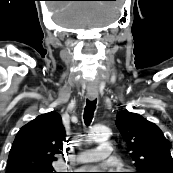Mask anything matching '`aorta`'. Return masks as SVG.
Listing matches in <instances>:
<instances>
[{
    "mask_svg": "<svg viewBox=\"0 0 173 173\" xmlns=\"http://www.w3.org/2000/svg\"><path fill=\"white\" fill-rule=\"evenodd\" d=\"M110 130L105 126H96L92 128L89 139L90 141H102L109 137Z\"/></svg>",
    "mask_w": 173,
    "mask_h": 173,
    "instance_id": "1",
    "label": "aorta"
}]
</instances>
